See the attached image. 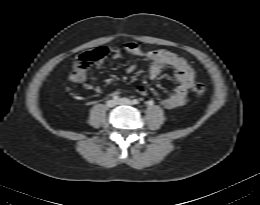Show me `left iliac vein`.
Listing matches in <instances>:
<instances>
[{"label":"left iliac vein","instance_id":"4c4485c4","mask_svg":"<svg viewBox=\"0 0 260 205\" xmlns=\"http://www.w3.org/2000/svg\"><path fill=\"white\" fill-rule=\"evenodd\" d=\"M118 104L120 105H132V101L128 98H121L118 100Z\"/></svg>","mask_w":260,"mask_h":205}]
</instances>
